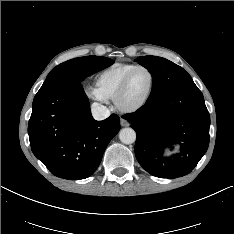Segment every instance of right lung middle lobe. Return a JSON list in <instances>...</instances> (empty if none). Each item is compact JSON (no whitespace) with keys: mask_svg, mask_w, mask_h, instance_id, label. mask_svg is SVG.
Here are the masks:
<instances>
[{"mask_svg":"<svg viewBox=\"0 0 234 234\" xmlns=\"http://www.w3.org/2000/svg\"><path fill=\"white\" fill-rule=\"evenodd\" d=\"M114 61L106 57L85 56L68 60L51 70L47 78L61 74L71 73L77 81H83L89 75L112 65Z\"/></svg>","mask_w":234,"mask_h":234,"instance_id":"dd1d6c3e","label":"right lung middle lobe"}]
</instances>
